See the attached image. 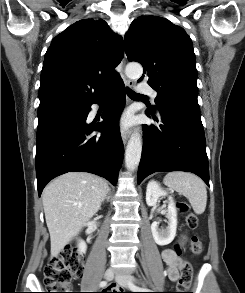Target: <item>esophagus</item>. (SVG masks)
I'll return each mask as SVG.
<instances>
[{"mask_svg": "<svg viewBox=\"0 0 245 293\" xmlns=\"http://www.w3.org/2000/svg\"><path fill=\"white\" fill-rule=\"evenodd\" d=\"M124 65H125V58L120 63V75L125 83L126 86L132 87L133 86V81L131 79H128L124 73ZM130 137V134L128 132H123L122 133V141L123 144H126L128 139Z\"/></svg>", "mask_w": 245, "mask_h": 293, "instance_id": "1", "label": "esophagus"}]
</instances>
